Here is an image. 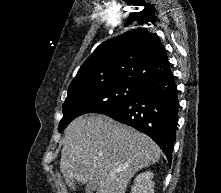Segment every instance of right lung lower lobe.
Returning <instances> with one entry per match:
<instances>
[{
  "label": "right lung lower lobe",
  "mask_w": 221,
  "mask_h": 193,
  "mask_svg": "<svg viewBox=\"0 0 221 193\" xmlns=\"http://www.w3.org/2000/svg\"><path fill=\"white\" fill-rule=\"evenodd\" d=\"M178 90L172 73L150 78L140 91L116 107L100 112L152 138L172 161L178 121Z\"/></svg>",
  "instance_id": "1"
}]
</instances>
